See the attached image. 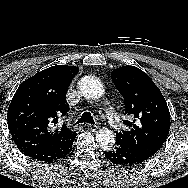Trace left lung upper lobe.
<instances>
[{"instance_id": "left-lung-upper-lobe-1", "label": "left lung upper lobe", "mask_w": 188, "mask_h": 188, "mask_svg": "<svg viewBox=\"0 0 188 188\" xmlns=\"http://www.w3.org/2000/svg\"><path fill=\"white\" fill-rule=\"evenodd\" d=\"M112 81L124 96L123 123L129 130L116 133V141L156 153L170 128L167 103L154 82L139 68L123 66L112 72Z\"/></svg>"}]
</instances>
